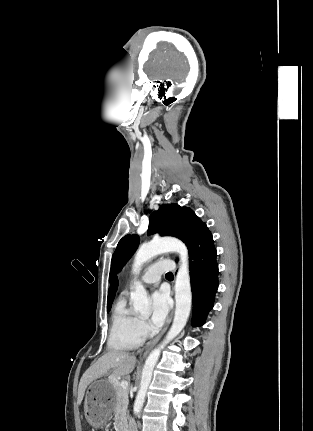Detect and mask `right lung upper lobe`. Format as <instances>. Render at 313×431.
I'll list each match as a JSON object with an SVG mask.
<instances>
[{"label": "right lung upper lobe", "instance_id": "1", "mask_svg": "<svg viewBox=\"0 0 313 431\" xmlns=\"http://www.w3.org/2000/svg\"><path fill=\"white\" fill-rule=\"evenodd\" d=\"M112 276V275H111ZM110 276V277H111ZM118 288V279L116 276H114V278L112 279L110 288H109V292H108V300H107V307L112 305V302L114 300L115 297V293L117 291Z\"/></svg>", "mask_w": 313, "mask_h": 431}]
</instances>
